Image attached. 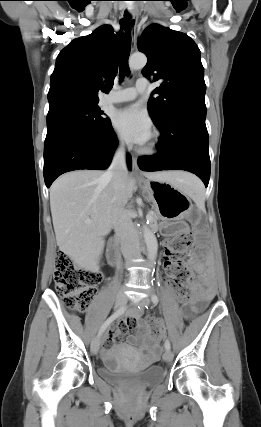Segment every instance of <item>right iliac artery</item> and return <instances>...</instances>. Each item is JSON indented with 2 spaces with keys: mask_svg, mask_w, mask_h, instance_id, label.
I'll return each instance as SVG.
<instances>
[{
  "mask_svg": "<svg viewBox=\"0 0 261 427\" xmlns=\"http://www.w3.org/2000/svg\"><path fill=\"white\" fill-rule=\"evenodd\" d=\"M125 311V307H121L119 308L116 312H114L101 326V328L99 329V333L98 335L100 336L105 330L106 328L116 319L118 318L120 315H122Z\"/></svg>",
  "mask_w": 261,
  "mask_h": 427,
  "instance_id": "1",
  "label": "right iliac artery"
}]
</instances>
